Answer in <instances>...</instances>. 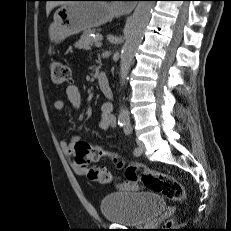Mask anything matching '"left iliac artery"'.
Instances as JSON below:
<instances>
[{
	"mask_svg": "<svg viewBox=\"0 0 231 231\" xmlns=\"http://www.w3.org/2000/svg\"><path fill=\"white\" fill-rule=\"evenodd\" d=\"M123 130H124V133L126 134V135H130L131 133H132V126H131V124L129 123V122H127L125 125H124V128H123ZM141 153H140V151L138 150V148H135V150H134V155H140Z\"/></svg>",
	"mask_w": 231,
	"mask_h": 231,
	"instance_id": "1",
	"label": "left iliac artery"
}]
</instances>
